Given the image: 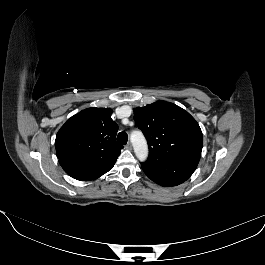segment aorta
Returning a JSON list of instances; mask_svg holds the SVG:
<instances>
[{"label": "aorta", "mask_w": 265, "mask_h": 265, "mask_svg": "<svg viewBox=\"0 0 265 265\" xmlns=\"http://www.w3.org/2000/svg\"><path fill=\"white\" fill-rule=\"evenodd\" d=\"M131 142L138 160L141 162L145 161L148 157V146L143 134L141 132H133L131 134Z\"/></svg>", "instance_id": "aorta-1"}]
</instances>
